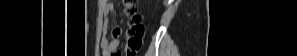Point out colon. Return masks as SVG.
Listing matches in <instances>:
<instances>
[{
    "mask_svg": "<svg viewBox=\"0 0 297 56\" xmlns=\"http://www.w3.org/2000/svg\"><path fill=\"white\" fill-rule=\"evenodd\" d=\"M124 13L129 18V27L126 34L125 55L137 56L143 45L144 27L141 23V18L138 15L137 1L125 0ZM115 56H121L120 52L115 53Z\"/></svg>",
    "mask_w": 297,
    "mask_h": 56,
    "instance_id": "1",
    "label": "colon"
}]
</instances>
